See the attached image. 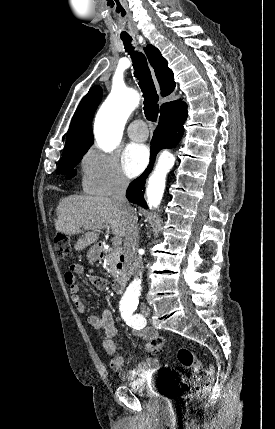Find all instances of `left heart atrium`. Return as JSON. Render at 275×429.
<instances>
[{"label":"left heart atrium","instance_id":"39dd6f15","mask_svg":"<svg viewBox=\"0 0 275 429\" xmlns=\"http://www.w3.org/2000/svg\"><path fill=\"white\" fill-rule=\"evenodd\" d=\"M149 160V150L145 145L132 143L123 153L122 164L129 177L139 175Z\"/></svg>","mask_w":275,"mask_h":429}]
</instances>
